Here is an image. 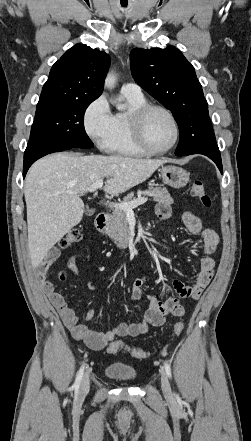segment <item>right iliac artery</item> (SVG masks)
<instances>
[{
	"instance_id": "obj_1",
	"label": "right iliac artery",
	"mask_w": 251,
	"mask_h": 441,
	"mask_svg": "<svg viewBox=\"0 0 251 441\" xmlns=\"http://www.w3.org/2000/svg\"><path fill=\"white\" fill-rule=\"evenodd\" d=\"M83 374H84V366H82V367L79 369V371H78V373H77V375H76V379H75V382H74V384H73V388L75 389V392H78V391H79V387H80V383H81V380H82Z\"/></svg>"
}]
</instances>
